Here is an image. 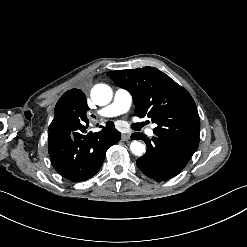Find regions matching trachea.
Listing matches in <instances>:
<instances>
[{
	"mask_svg": "<svg viewBox=\"0 0 247 247\" xmlns=\"http://www.w3.org/2000/svg\"><path fill=\"white\" fill-rule=\"evenodd\" d=\"M144 126V123H136L132 125V128L136 131H139Z\"/></svg>",
	"mask_w": 247,
	"mask_h": 247,
	"instance_id": "obj_1",
	"label": "trachea"
}]
</instances>
